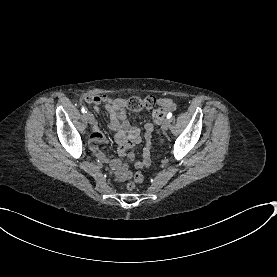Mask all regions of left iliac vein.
<instances>
[{"mask_svg": "<svg viewBox=\"0 0 277 277\" xmlns=\"http://www.w3.org/2000/svg\"><path fill=\"white\" fill-rule=\"evenodd\" d=\"M169 126H170V120L169 119H165L163 121V123H162V130L163 131L168 130Z\"/></svg>", "mask_w": 277, "mask_h": 277, "instance_id": "left-iliac-vein-1", "label": "left iliac vein"}]
</instances>
